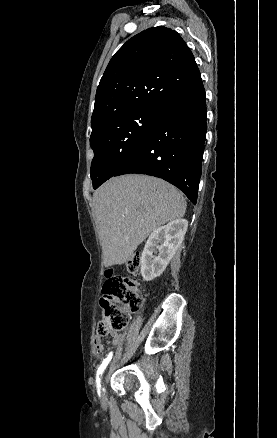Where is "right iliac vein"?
<instances>
[{"label":"right iliac vein","mask_w":277,"mask_h":438,"mask_svg":"<svg viewBox=\"0 0 277 438\" xmlns=\"http://www.w3.org/2000/svg\"><path fill=\"white\" fill-rule=\"evenodd\" d=\"M101 397L102 398L105 397V384H104V381H102V385H101Z\"/></svg>","instance_id":"63e3f726"}]
</instances>
